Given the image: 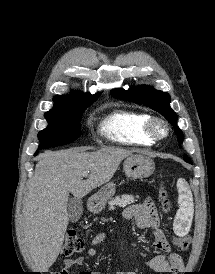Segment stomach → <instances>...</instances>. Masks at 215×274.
Segmentation results:
<instances>
[{"label":"stomach","mask_w":215,"mask_h":274,"mask_svg":"<svg viewBox=\"0 0 215 274\" xmlns=\"http://www.w3.org/2000/svg\"><path fill=\"white\" fill-rule=\"evenodd\" d=\"M123 169L127 177L130 178H146L149 177L154 169L153 160L144 155H130L123 163ZM115 194V184L110 182L103 186L93 197L91 210L94 212L101 211L107 201Z\"/></svg>","instance_id":"0dacf381"}]
</instances>
